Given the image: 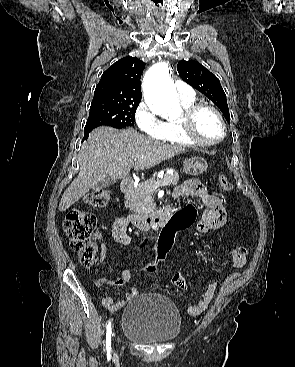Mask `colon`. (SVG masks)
Here are the masks:
<instances>
[{
	"label": "colon",
	"instance_id": "5ec220e1",
	"mask_svg": "<svg viewBox=\"0 0 295 367\" xmlns=\"http://www.w3.org/2000/svg\"><path fill=\"white\" fill-rule=\"evenodd\" d=\"M217 183L224 191H230L232 188L230 181L224 174L217 177ZM212 194L217 196L219 191L214 189ZM218 197L223 206L229 205V200L224 194H220ZM108 199L109 192L105 189H99L89 193L85 197V203L91 207L100 208L106 205ZM184 199L186 204L182 206L181 212L176 218L167 219V222L161 225V233L157 242L158 248L154 260L146 268L147 273L151 274L156 271L157 264L165 258L171 247L175 246V239L179 231H185L186 228L194 223L196 217L195 205L189 202L191 199L190 196L187 195ZM95 226V216L88 211L77 208L67 212L63 223V229L69 240L70 246L78 253L79 259L85 267H91L95 261L97 249L92 241V232ZM246 255L247 249L244 246H237L231 252L232 261L239 265L244 264Z\"/></svg>",
	"mask_w": 295,
	"mask_h": 367
}]
</instances>
